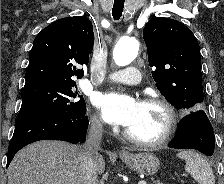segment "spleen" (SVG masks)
<instances>
[{"instance_id": "3e777b00", "label": "spleen", "mask_w": 224, "mask_h": 184, "mask_svg": "<svg viewBox=\"0 0 224 184\" xmlns=\"http://www.w3.org/2000/svg\"><path fill=\"white\" fill-rule=\"evenodd\" d=\"M177 156L186 161V171L199 184H215L213 170L203 156L193 151H181Z\"/></svg>"}]
</instances>
